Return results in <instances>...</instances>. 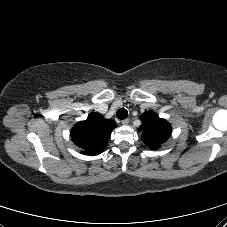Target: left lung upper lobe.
Returning a JSON list of instances; mask_svg holds the SVG:
<instances>
[{"mask_svg":"<svg viewBox=\"0 0 227 227\" xmlns=\"http://www.w3.org/2000/svg\"><path fill=\"white\" fill-rule=\"evenodd\" d=\"M142 126V140L152 150L158 149L171 135V125L165 120L158 118L154 111H147L140 117Z\"/></svg>","mask_w":227,"mask_h":227,"instance_id":"5c2ea615","label":"left lung upper lobe"}]
</instances>
